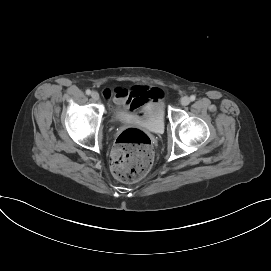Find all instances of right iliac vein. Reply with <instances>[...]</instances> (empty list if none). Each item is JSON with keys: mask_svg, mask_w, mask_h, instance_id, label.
Instances as JSON below:
<instances>
[{"mask_svg": "<svg viewBox=\"0 0 271 271\" xmlns=\"http://www.w3.org/2000/svg\"><path fill=\"white\" fill-rule=\"evenodd\" d=\"M91 97L94 101H98L100 96H99V93L96 92V91H93L92 94H91Z\"/></svg>", "mask_w": 271, "mask_h": 271, "instance_id": "63e3f726", "label": "right iliac vein"}]
</instances>
